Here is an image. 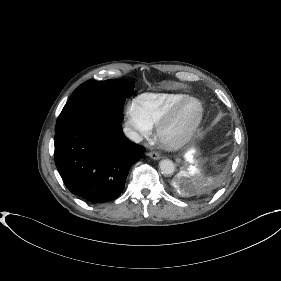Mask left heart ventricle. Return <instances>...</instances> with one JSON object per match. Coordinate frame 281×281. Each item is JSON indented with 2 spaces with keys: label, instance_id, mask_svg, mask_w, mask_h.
<instances>
[{
  "label": "left heart ventricle",
  "instance_id": "obj_1",
  "mask_svg": "<svg viewBox=\"0 0 281 281\" xmlns=\"http://www.w3.org/2000/svg\"><path fill=\"white\" fill-rule=\"evenodd\" d=\"M196 112L197 108L195 105L189 104L188 106H186L179 116L178 120L172 127L171 133H178L188 127L195 118Z\"/></svg>",
  "mask_w": 281,
  "mask_h": 281
}]
</instances>
